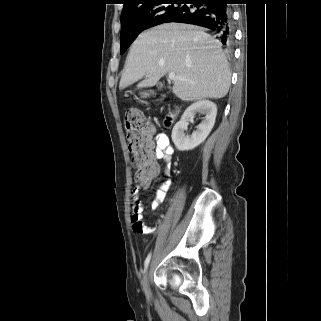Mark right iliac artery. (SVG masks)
<instances>
[{
    "label": "right iliac artery",
    "instance_id": "obj_1",
    "mask_svg": "<svg viewBox=\"0 0 321 321\" xmlns=\"http://www.w3.org/2000/svg\"><path fill=\"white\" fill-rule=\"evenodd\" d=\"M150 259H151V253L148 254V256L146 257L145 262H144V271H145V272H146V270H147V268H148Z\"/></svg>",
    "mask_w": 321,
    "mask_h": 321
}]
</instances>
